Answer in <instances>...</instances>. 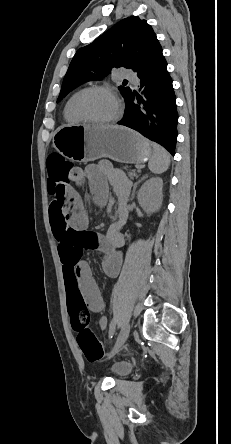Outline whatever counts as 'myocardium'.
<instances>
[{
  "label": "myocardium",
  "instance_id": "f54148a6",
  "mask_svg": "<svg viewBox=\"0 0 231 444\" xmlns=\"http://www.w3.org/2000/svg\"><path fill=\"white\" fill-rule=\"evenodd\" d=\"M93 91H102L105 92L107 94H109L115 101L116 103V113L109 119L106 120H93L91 118H89L82 110V101L85 98V96ZM122 110H123V104L122 101L120 99V97L118 96V94L109 86H105V85H92L89 86L85 89H83L77 96L75 103H74V112L77 115V117L85 122V123H89V124H93V125H109V124H113L115 122L118 121V119L120 118L121 114H122Z\"/></svg>",
  "mask_w": 231,
  "mask_h": 444
}]
</instances>
